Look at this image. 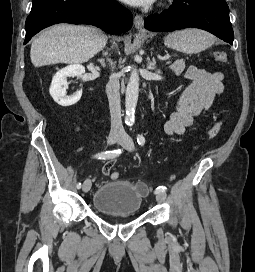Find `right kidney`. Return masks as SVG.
<instances>
[{
	"mask_svg": "<svg viewBox=\"0 0 255 272\" xmlns=\"http://www.w3.org/2000/svg\"><path fill=\"white\" fill-rule=\"evenodd\" d=\"M85 73V68L80 64L69 65L59 70L53 77L49 89L53 100L63 107L72 106L77 103L82 96V89L77 91L74 95H66L67 77H81Z\"/></svg>",
	"mask_w": 255,
	"mask_h": 272,
	"instance_id": "obj_1",
	"label": "right kidney"
}]
</instances>
